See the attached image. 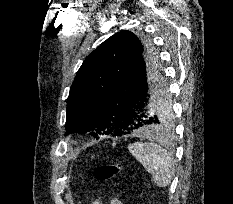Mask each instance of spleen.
<instances>
[{"label": "spleen", "instance_id": "obj_1", "mask_svg": "<svg viewBox=\"0 0 233 204\" xmlns=\"http://www.w3.org/2000/svg\"><path fill=\"white\" fill-rule=\"evenodd\" d=\"M130 153L152 174L154 183L161 188L170 185L174 176L175 161L170 152L153 142H136L128 145Z\"/></svg>", "mask_w": 233, "mask_h": 204}]
</instances>
